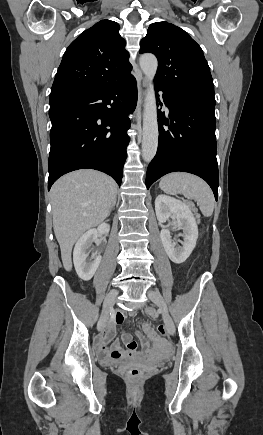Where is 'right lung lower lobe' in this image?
Here are the masks:
<instances>
[{
    "mask_svg": "<svg viewBox=\"0 0 263 435\" xmlns=\"http://www.w3.org/2000/svg\"><path fill=\"white\" fill-rule=\"evenodd\" d=\"M136 103L131 74L87 94L51 102L48 190L60 176L82 168L102 171L120 185L129 143L128 115Z\"/></svg>",
    "mask_w": 263,
    "mask_h": 435,
    "instance_id": "98d812e1",
    "label": "right lung lower lobe"
}]
</instances>
